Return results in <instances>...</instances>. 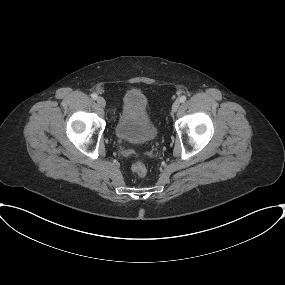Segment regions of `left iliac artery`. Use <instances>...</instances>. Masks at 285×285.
Returning a JSON list of instances; mask_svg holds the SVG:
<instances>
[{
  "label": "left iliac artery",
  "mask_w": 285,
  "mask_h": 285,
  "mask_svg": "<svg viewBox=\"0 0 285 285\" xmlns=\"http://www.w3.org/2000/svg\"><path fill=\"white\" fill-rule=\"evenodd\" d=\"M185 101H186V96H184V95H183V96H181V97H180V102H182V103H183V102H185Z\"/></svg>",
  "instance_id": "1"
}]
</instances>
